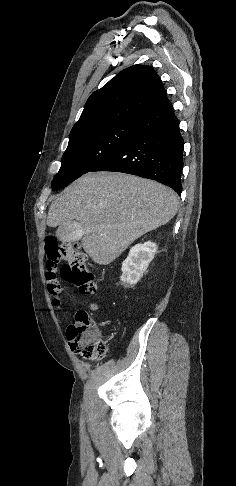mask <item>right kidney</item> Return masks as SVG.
I'll return each instance as SVG.
<instances>
[{"label": "right kidney", "mask_w": 236, "mask_h": 486, "mask_svg": "<svg viewBox=\"0 0 236 486\" xmlns=\"http://www.w3.org/2000/svg\"><path fill=\"white\" fill-rule=\"evenodd\" d=\"M156 252L157 245L151 241L133 246L122 263L121 281L129 286H134L146 272Z\"/></svg>", "instance_id": "ca27d5eb"}]
</instances>
